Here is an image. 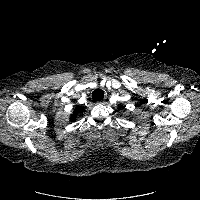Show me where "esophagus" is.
Listing matches in <instances>:
<instances>
[{
  "label": "esophagus",
  "instance_id": "obj_1",
  "mask_svg": "<svg viewBox=\"0 0 200 200\" xmlns=\"http://www.w3.org/2000/svg\"><path fill=\"white\" fill-rule=\"evenodd\" d=\"M99 103H100V104H104V103H105V101H104V100H102V101H100Z\"/></svg>",
  "mask_w": 200,
  "mask_h": 200
}]
</instances>
